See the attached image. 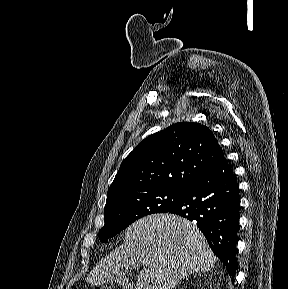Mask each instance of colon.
Masks as SVG:
<instances>
[{
    "label": "colon",
    "mask_w": 288,
    "mask_h": 289,
    "mask_svg": "<svg viewBox=\"0 0 288 289\" xmlns=\"http://www.w3.org/2000/svg\"><path fill=\"white\" fill-rule=\"evenodd\" d=\"M96 289H104V288H96Z\"/></svg>",
    "instance_id": "colon-1"
}]
</instances>
